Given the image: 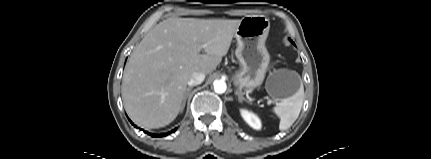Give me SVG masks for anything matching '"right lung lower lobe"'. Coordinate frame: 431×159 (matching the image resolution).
<instances>
[{"instance_id": "obj_1", "label": "right lung lower lobe", "mask_w": 431, "mask_h": 159, "mask_svg": "<svg viewBox=\"0 0 431 159\" xmlns=\"http://www.w3.org/2000/svg\"><path fill=\"white\" fill-rule=\"evenodd\" d=\"M132 123V122H131ZM133 124V123H132ZM176 129L177 128H175V129H173L171 132H169V133H173V132H175L176 131ZM145 133H148L147 131H145ZM169 133H163V134H160V135H158V134H152V133H148L149 135H151L152 137H162V136H166V135H168Z\"/></svg>"}]
</instances>
